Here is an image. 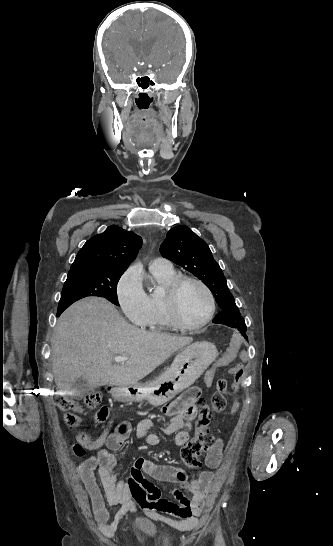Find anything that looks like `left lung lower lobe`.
<instances>
[{
  "label": "left lung lower lobe",
  "mask_w": 333,
  "mask_h": 546,
  "mask_svg": "<svg viewBox=\"0 0 333 546\" xmlns=\"http://www.w3.org/2000/svg\"><path fill=\"white\" fill-rule=\"evenodd\" d=\"M213 322L216 324H224L232 328H237L240 333L247 339V335L245 334L246 326L238 327L237 325H234L232 322L229 321V317L224 312H220L218 315H216L213 319Z\"/></svg>",
  "instance_id": "0a47b994"
}]
</instances>
